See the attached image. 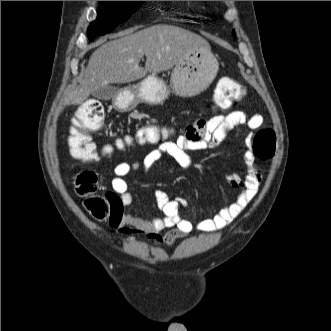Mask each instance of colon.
Wrapping results in <instances>:
<instances>
[{"mask_svg": "<svg viewBox=\"0 0 331 331\" xmlns=\"http://www.w3.org/2000/svg\"><path fill=\"white\" fill-rule=\"evenodd\" d=\"M245 95V89L239 82L224 77L218 82L215 91V103L221 109H227L240 101ZM105 114L102 104L95 99L86 101L77 110L73 127L69 137V147L72 156L83 162H94L98 158L95 145L87 135L88 131L99 130L104 124ZM168 136V131L156 125H146L140 128L135 140L139 144H155ZM128 141L122 140L118 143L123 147ZM276 136L273 129L265 127L260 129L253 140V152L266 160L273 156L275 151ZM105 153L110 148H105ZM76 192L85 197L84 205L90 214L97 219H105L113 211H119L122 204L114 193L105 195L97 194V176L93 171H82L76 178Z\"/></svg>", "mask_w": 331, "mask_h": 331, "instance_id": "colon-1", "label": "colon"}]
</instances>
